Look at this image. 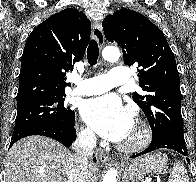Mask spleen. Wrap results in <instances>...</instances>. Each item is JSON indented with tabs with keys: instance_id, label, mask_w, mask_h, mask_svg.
<instances>
[{
	"instance_id": "obj_1",
	"label": "spleen",
	"mask_w": 196,
	"mask_h": 182,
	"mask_svg": "<svg viewBox=\"0 0 196 182\" xmlns=\"http://www.w3.org/2000/svg\"><path fill=\"white\" fill-rule=\"evenodd\" d=\"M168 182H189L187 171L180 161L175 162Z\"/></svg>"
}]
</instances>
